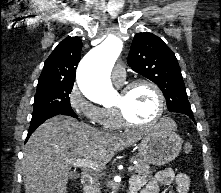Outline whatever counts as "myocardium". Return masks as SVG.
<instances>
[{"label": "myocardium", "instance_id": "f54148a6", "mask_svg": "<svg viewBox=\"0 0 221 193\" xmlns=\"http://www.w3.org/2000/svg\"><path fill=\"white\" fill-rule=\"evenodd\" d=\"M140 85H147L151 87L157 97V111L154 115V117L146 122V123H138L134 122L129 117L127 116L124 108L121 105H115L114 109L117 113L118 119L121 123L122 126L128 127V128H137V129H143V128H148L151 127L159 122V120L162 118L163 113H164V106H165V98L164 94L161 90V88L152 80L149 79H136L133 80L121 89L122 94H126L130 92L132 89H134L137 86Z\"/></svg>", "mask_w": 221, "mask_h": 193}]
</instances>
